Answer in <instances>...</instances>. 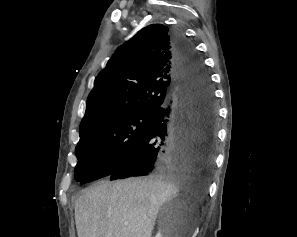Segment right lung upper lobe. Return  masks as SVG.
Instances as JSON below:
<instances>
[{
    "mask_svg": "<svg viewBox=\"0 0 297 237\" xmlns=\"http://www.w3.org/2000/svg\"><path fill=\"white\" fill-rule=\"evenodd\" d=\"M172 31L151 24L120 46L95 79L80 133L92 124L137 112H155L180 86L174 72Z\"/></svg>",
    "mask_w": 297,
    "mask_h": 237,
    "instance_id": "cb5924a9",
    "label": "right lung upper lobe"
}]
</instances>
